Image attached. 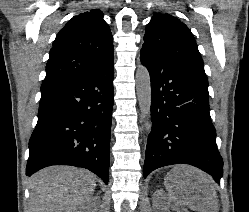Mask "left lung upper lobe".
<instances>
[{"label": "left lung upper lobe", "mask_w": 249, "mask_h": 212, "mask_svg": "<svg viewBox=\"0 0 249 212\" xmlns=\"http://www.w3.org/2000/svg\"><path fill=\"white\" fill-rule=\"evenodd\" d=\"M140 53L165 58L205 74L193 34L184 23L169 14L152 17L146 27Z\"/></svg>", "instance_id": "obj_1"}]
</instances>
